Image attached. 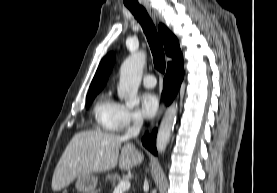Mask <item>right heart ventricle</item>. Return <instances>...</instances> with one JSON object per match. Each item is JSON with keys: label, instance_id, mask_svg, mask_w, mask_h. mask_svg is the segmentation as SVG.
I'll use <instances>...</instances> for the list:
<instances>
[{"label": "right heart ventricle", "instance_id": "right-heart-ventricle-1", "mask_svg": "<svg viewBox=\"0 0 277 193\" xmlns=\"http://www.w3.org/2000/svg\"><path fill=\"white\" fill-rule=\"evenodd\" d=\"M119 109L120 105L109 96L102 97L93 109L97 128L109 132L118 130Z\"/></svg>", "mask_w": 277, "mask_h": 193}]
</instances>
